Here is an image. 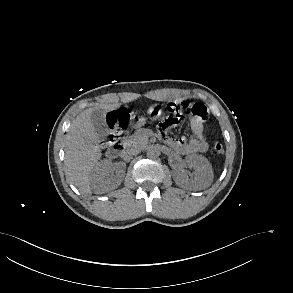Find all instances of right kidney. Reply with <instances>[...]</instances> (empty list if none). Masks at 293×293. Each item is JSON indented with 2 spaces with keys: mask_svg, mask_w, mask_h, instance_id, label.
<instances>
[{
  "mask_svg": "<svg viewBox=\"0 0 293 293\" xmlns=\"http://www.w3.org/2000/svg\"><path fill=\"white\" fill-rule=\"evenodd\" d=\"M125 169L124 163L112 164L108 159L97 163L90 177L93 189L99 191L106 183L113 184L114 187L119 185L124 177Z\"/></svg>",
  "mask_w": 293,
  "mask_h": 293,
  "instance_id": "right-kidney-1",
  "label": "right kidney"
}]
</instances>
